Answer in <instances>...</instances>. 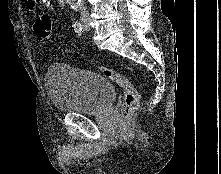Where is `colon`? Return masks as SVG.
Here are the masks:
<instances>
[{
	"label": "colon",
	"mask_w": 221,
	"mask_h": 174,
	"mask_svg": "<svg viewBox=\"0 0 221 174\" xmlns=\"http://www.w3.org/2000/svg\"><path fill=\"white\" fill-rule=\"evenodd\" d=\"M35 35L39 39H49L52 37V20L49 15L43 14L38 17L34 24ZM99 72L109 80L121 87L124 94L122 105V117L124 121L134 114L139 106V94L134 84L125 76L107 67H97Z\"/></svg>",
	"instance_id": "1"
}]
</instances>
